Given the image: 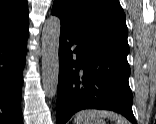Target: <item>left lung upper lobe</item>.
Listing matches in <instances>:
<instances>
[{
	"label": "left lung upper lobe",
	"instance_id": "obj_1",
	"mask_svg": "<svg viewBox=\"0 0 156 124\" xmlns=\"http://www.w3.org/2000/svg\"><path fill=\"white\" fill-rule=\"evenodd\" d=\"M51 13L77 33L129 53L126 17L118 0H54Z\"/></svg>",
	"mask_w": 156,
	"mask_h": 124
}]
</instances>
